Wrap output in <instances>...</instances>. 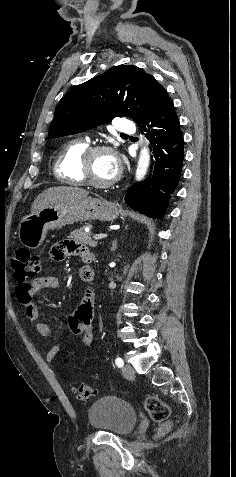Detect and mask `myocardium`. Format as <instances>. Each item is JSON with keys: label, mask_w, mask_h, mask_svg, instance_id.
Returning <instances> with one entry per match:
<instances>
[{"label": "myocardium", "mask_w": 236, "mask_h": 477, "mask_svg": "<svg viewBox=\"0 0 236 477\" xmlns=\"http://www.w3.org/2000/svg\"><path fill=\"white\" fill-rule=\"evenodd\" d=\"M100 152H109L114 154V151L111 147L105 145H96L88 147L87 150L81 157L80 160V174L85 184L96 188H106L115 184L119 179V174H116L115 177L109 181H98L95 180L90 173V161L96 154Z\"/></svg>", "instance_id": "myocardium-1"}]
</instances>
